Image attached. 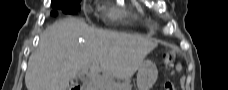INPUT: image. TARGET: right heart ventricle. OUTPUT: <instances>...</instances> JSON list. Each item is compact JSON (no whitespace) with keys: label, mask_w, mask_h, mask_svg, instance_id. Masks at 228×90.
<instances>
[{"label":"right heart ventricle","mask_w":228,"mask_h":90,"mask_svg":"<svg viewBox=\"0 0 228 90\" xmlns=\"http://www.w3.org/2000/svg\"><path fill=\"white\" fill-rule=\"evenodd\" d=\"M130 15L131 13L129 11H120L117 9H112L108 14L109 18L112 20L129 17Z\"/></svg>","instance_id":"1"}]
</instances>
